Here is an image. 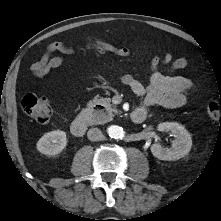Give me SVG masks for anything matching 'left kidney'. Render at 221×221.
<instances>
[{
    "instance_id": "obj_1",
    "label": "left kidney",
    "mask_w": 221,
    "mask_h": 221,
    "mask_svg": "<svg viewBox=\"0 0 221 221\" xmlns=\"http://www.w3.org/2000/svg\"><path fill=\"white\" fill-rule=\"evenodd\" d=\"M159 131L169 132L175 140L170 148L163 147L160 144H152L151 152L159 160L174 161L187 155L192 147L190 133L179 123L163 122L158 124Z\"/></svg>"
}]
</instances>
